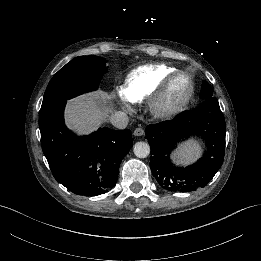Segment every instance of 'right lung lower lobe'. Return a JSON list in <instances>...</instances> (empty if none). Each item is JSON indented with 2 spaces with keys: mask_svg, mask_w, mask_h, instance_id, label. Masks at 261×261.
I'll use <instances>...</instances> for the list:
<instances>
[{
  "mask_svg": "<svg viewBox=\"0 0 261 261\" xmlns=\"http://www.w3.org/2000/svg\"><path fill=\"white\" fill-rule=\"evenodd\" d=\"M66 100L41 107L39 128L43 153L54 178L72 193L104 194L115 186L118 167L133 146L130 130L101 128L77 136L64 124Z\"/></svg>",
  "mask_w": 261,
  "mask_h": 261,
  "instance_id": "obj_1",
  "label": "right lung lower lobe"
}]
</instances>
